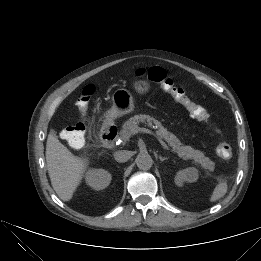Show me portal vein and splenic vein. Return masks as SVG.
<instances>
[{
	"instance_id": "1",
	"label": "portal vein and splenic vein",
	"mask_w": 261,
	"mask_h": 261,
	"mask_svg": "<svg viewBox=\"0 0 261 261\" xmlns=\"http://www.w3.org/2000/svg\"><path fill=\"white\" fill-rule=\"evenodd\" d=\"M137 133H148V134L154 136L164 149L172 152V150L167 146V144L157 134H155L151 130L146 129V128H140V127H136L134 129H132V134H137Z\"/></svg>"
}]
</instances>
